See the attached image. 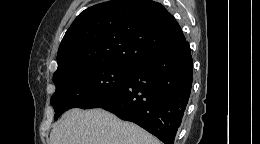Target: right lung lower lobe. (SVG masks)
Returning <instances> with one entry per match:
<instances>
[{"mask_svg":"<svg viewBox=\"0 0 260 144\" xmlns=\"http://www.w3.org/2000/svg\"><path fill=\"white\" fill-rule=\"evenodd\" d=\"M193 60L187 41L131 67L127 82L102 108L131 121L164 144H174L190 97Z\"/></svg>","mask_w":260,"mask_h":144,"instance_id":"1","label":"right lung lower lobe"}]
</instances>
